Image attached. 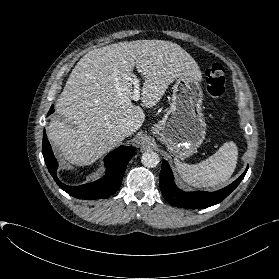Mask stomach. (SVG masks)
I'll use <instances>...</instances> for the list:
<instances>
[{
  "mask_svg": "<svg viewBox=\"0 0 279 279\" xmlns=\"http://www.w3.org/2000/svg\"><path fill=\"white\" fill-rule=\"evenodd\" d=\"M202 101L203 92L197 79L184 74L175 79L170 107L152 127V133L176 158L190 157L205 139Z\"/></svg>",
  "mask_w": 279,
  "mask_h": 279,
  "instance_id": "0dacf381",
  "label": "stomach"
}]
</instances>
